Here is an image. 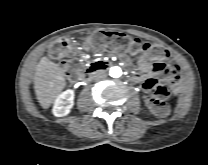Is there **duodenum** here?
Here are the masks:
<instances>
[{
  "instance_id": "obj_1",
  "label": "duodenum",
  "mask_w": 208,
  "mask_h": 165,
  "mask_svg": "<svg viewBox=\"0 0 208 165\" xmlns=\"http://www.w3.org/2000/svg\"><path fill=\"white\" fill-rule=\"evenodd\" d=\"M106 68V64H92L86 72L82 75V81H88L93 75L97 74L98 72L104 70Z\"/></svg>"
}]
</instances>
